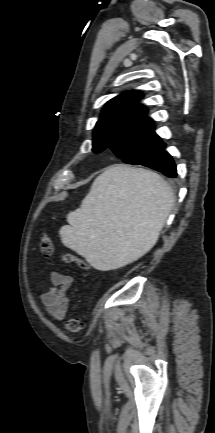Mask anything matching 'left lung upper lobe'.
<instances>
[{"label":"left lung upper lobe","mask_w":215,"mask_h":433,"mask_svg":"<svg viewBox=\"0 0 215 433\" xmlns=\"http://www.w3.org/2000/svg\"><path fill=\"white\" fill-rule=\"evenodd\" d=\"M142 97L141 92L127 91L105 104L95 126L93 152L109 147L127 164L152 169L160 165L165 144L155 133L148 110L138 103Z\"/></svg>","instance_id":"1"}]
</instances>
